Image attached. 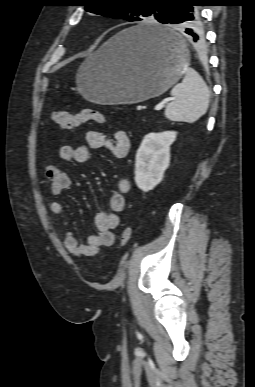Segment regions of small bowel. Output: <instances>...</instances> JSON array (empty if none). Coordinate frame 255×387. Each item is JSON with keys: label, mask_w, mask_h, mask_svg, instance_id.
<instances>
[{"label": "small bowel", "mask_w": 255, "mask_h": 387, "mask_svg": "<svg viewBox=\"0 0 255 387\" xmlns=\"http://www.w3.org/2000/svg\"><path fill=\"white\" fill-rule=\"evenodd\" d=\"M85 145L74 147L63 145L58 151V157L63 161L77 163L87 162L90 151L105 148L115 158L121 159L128 155L131 147L130 139L124 130L115 131L113 138H108L96 130H89L85 134ZM45 176L50 183V190L54 196H60L68 190L72 181L68 173L56 164H49L45 168ZM131 190V182L126 177H121L116 182V191L109 199V210L98 211L94 215L96 234L89 235L85 243H81L72 231L64 233V245L68 252L78 257H93L102 247L111 246L114 243L113 229L119 225V213L126 205L125 194ZM50 211L54 216L63 217L65 208L60 201L50 204Z\"/></svg>", "instance_id": "1"}]
</instances>
